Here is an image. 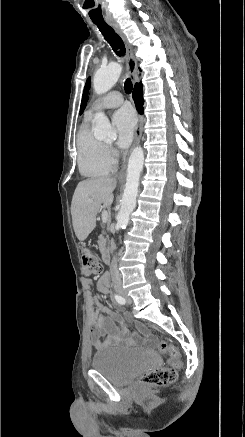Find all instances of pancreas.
Here are the masks:
<instances>
[{"label": "pancreas", "mask_w": 245, "mask_h": 437, "mask_svg": "<svg viewBox=\"0 0 245 437\" xmlns=\"http://www.w3.org/2000/svg\"><path fill=\"white\" fill-rule=\"evenodd\" d=\"M104 229H105V225H103L102 235L98 239V245H99V248H100L101 251L105 250L106 244H107V241H108V234H107V232Z\"/></svg>", "instance_id": "obj_1"}]
</instances>
